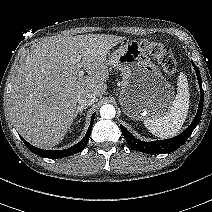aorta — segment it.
Here are the masks:
<instances>
[{
  "label": "aorta",
  "mask_w": 212,
  "mask_h": 212,
  "mask_svg": "<svg viewBox=\"0 0 212 212\" xmlns=\"http://www.w3.org/2000/svg\"><path fill=\"white\" fill-rule=\"evenodd\" d=\"M116 110L113 105L105 104L100 108V115L104 119H112L115 117Z\"/></svg>",
  "instance_id": "aorta-1"
}]
</instances>
